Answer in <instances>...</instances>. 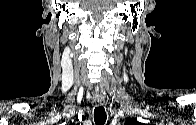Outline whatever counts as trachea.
Wrapping results in <instances>:
<instances>
[{
    "label": "trachea",
    "instance_id": "1",
    "mask_svg": "<svg viewBox=\"0 0 196 125\" xmlns=\"http://www.w3.org/2000/svg\"><path fill=\"white\" fill-rule=\"evenodd\" d=\"M107 119L105 109L102 106L96 107L94 110V121L96 125H104Z\"/></svg>",
    "mask_w": 196,
    "mask_h": 125
}]
</instances>
